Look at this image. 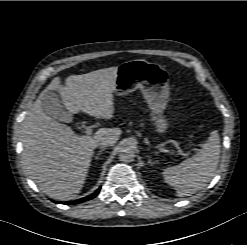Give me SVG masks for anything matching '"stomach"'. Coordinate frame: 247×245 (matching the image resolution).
Returning a JSON list of instances; mask_svg holds the SVG:
<instances>
[{"mask_svg": "<svg viewBox=\"0 0 247 245\" xmlns=\"http://www.w3.org/2000/svg\"><path fill=\"white\" fill-rule=\"evenodd\" d=\"M136 89H140L151 110V120L156 132H166L169 124L163 112L170 95L167 71L161 65L144 59L130 60L120 64L117 69L114 92L124 96Z\"/></svg>", "mask_w": 247, "mask_h": 245, "instance_id": "1", "label": "stomach"}]
</instances>
